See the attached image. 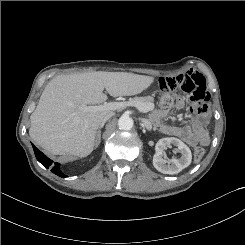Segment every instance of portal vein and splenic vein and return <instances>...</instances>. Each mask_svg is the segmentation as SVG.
I'll use <instances>...</instances> for the list:
<instances>
[{"instance_id":"18ae733b","label":"portal vein and splenic vein","mask_w":245,"mask_h":245,"mask_svg":"<svg viewBox=\"0 0 245 245\" xmlns=\"http://www.w3.org/2000/svg\"><path fill=\"white\" fill-rule=\"evenodd\" d=\"M127 106H132V104L130 102H109L97 106H85L83 107V109L86 111L118 110V109H123ZM138 109L140 111L145 112L147 110V107L140 106L138 107Z\"/></svg>"}]
</instances>
